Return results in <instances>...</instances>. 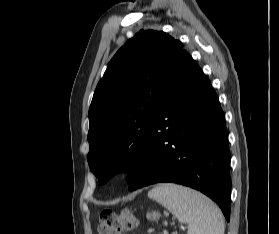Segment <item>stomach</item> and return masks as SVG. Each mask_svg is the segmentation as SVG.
I'll list each match as a JSON object with an SVG mask.
<instances>
[{
    "label": "stomach",
    "instance_id": "0dacf381",
    "mask_svg": "<svg viewBox=\"0 0 279 234\" xmlns=\"http://www.w3.org/2000/svg\"><path fill=\"white\" fill-rule=\"evenodd\" d=\"M147 218L150 220H155L159 218V213L158 212H152L147 214Z\"/></svg>",
    "mask_w": 279,
    "mask_h": 234
}]
</instances>
